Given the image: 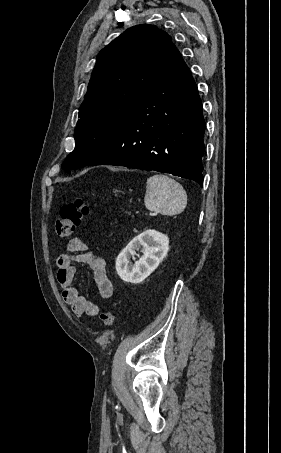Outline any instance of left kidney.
<instances>
[{
	"label": "left kidney",
	"instance_id": "obj_1",
	"mask_svg": "<svg viewBox=\"0 0 281 453\" xmlns=\"http://www.w3.org/2000/svg\"><path fill=\"white\" fill-rule=\"evenodd\" d=\"M142 247V249H141ZM137 249L143 253L139 261L130 265V259L136 255ZM169 249V239L167 235L158 231H144L138 237H134L127 247L119 253L116 259L117 275L126 283H142L149 277L159 263L166 257Z\"/></svg>",
	"mask_w": 281,
	"mask_h": 453
}]
</instances>
